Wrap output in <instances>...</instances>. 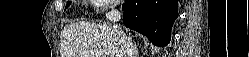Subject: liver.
<instances>
[{
  "mask_svg": "<svg viewBox=\"0 0 249 57\" xmlns=\"http://www.w3.org/2000/svg\"><path fill=\"white\" fill-rule=\"evenodd\" d=\"M61 42L62 57H121L122 55L117 33L107 24L77 22L66 25L61 32Z\"/></svg>",
  "mask_w": 249,
  "mask_h": 57,
  "instance_id": "1",
  "label": "liver"
}]
</instances>
